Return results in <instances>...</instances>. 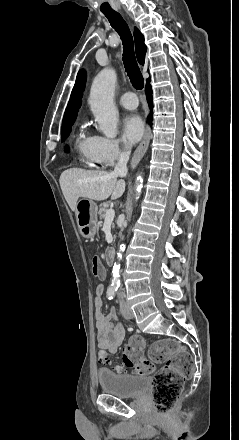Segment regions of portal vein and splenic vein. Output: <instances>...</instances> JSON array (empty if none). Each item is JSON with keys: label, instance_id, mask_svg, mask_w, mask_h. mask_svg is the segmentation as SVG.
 I'll return each instance as SVG.
<instances>
[{"label": "portal vein and splenic vein", "instance_id": "portal-vein-and-splenic-vein-1", "mask_svg": "<svg viewBox=\"0 0 239 440\" xmlns=\"http://www.w3.org/2000/svg\"><path fill=\"white\" fill-rule=\"evenodd\" d=\"M114 216H115V212L114 210H112V206H111L110 210H107L106 212L105 222H113Z\"/></svg>", "mask_w": 239, "mask_h": 440}]
</instances>
